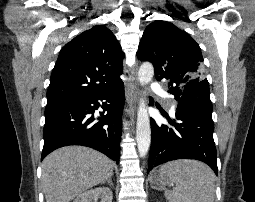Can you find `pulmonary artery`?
<instances>
[{"label": "pulmonary artery", "instance_id": "1", "mask_svg": "<svg viewBox=\"0 0 255 202\" xmlns=\"http://www.w3.org/2000/svg\"><path fill=\"white\" fill-rule=\"evenodd\" d=\"M151 90L156 93V94H163L164 90L162 89V87L158 84V83H153L151 85ZM168 107L171 111H174L176 108V103L174 101H169L168 103Z\"/></svg>", "mask_w": 255, "mask_h": 202}]
</instances>
